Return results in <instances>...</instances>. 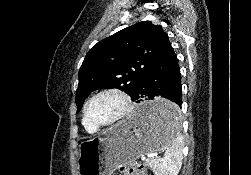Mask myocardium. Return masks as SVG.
<instances>
[{
	"instance_id": "obj_1",
	"label": "myocardium",
	"mask_w": 251,
	"mask_h": 175,
	"mask_svg": "<svg viewBox=\"0 0 251 175\" xmlns=\"http://www.w3.org/2000/svg\"><path fill=\"white\" fill-rule=\"evenodd\" d=\"M107 92H115L121 96V98L124 102V106H125L124 113L122 114V116L118 120H116L115 122H113L111 124H108V125L93 124L91 127L97 131L114 128V127L122 124L128 118L131 117L133 110H134L133 101L126 90H124L123 88H120V87L103 88V89L97 91L96 93H94L85 103L84 108H83V123L84 124L87 125V122H88V108H89V105L91 104V102L99 95L107 93Z\"/></svg>"
}]
</instances>
